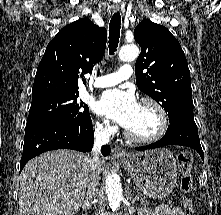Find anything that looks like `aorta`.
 <instances>
[{
    "instance_id": "1",
    "label": "aorta",
    "mask_w": 221,
    "mask_h": 215,
    "mask_svg": "<svg viewBox=\"0 0 221 215\" xmlns=\"http://www.w3.org/2000/svg\"><path fill=\"white\" fill-rule=\"evenodd\" d=\"M139 55V48L134 45H125L119 51V59L125 62L134 61ZM105 190L109 206L112 211H117L123 198L120 178L116 174H108L105 178Z\"/></svg>"
}]
</instances>
